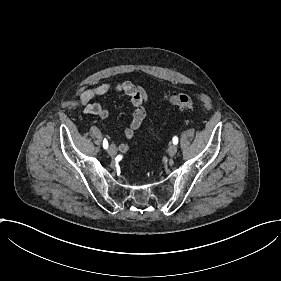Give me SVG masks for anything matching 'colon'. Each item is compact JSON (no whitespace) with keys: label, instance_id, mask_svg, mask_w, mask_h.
<instances>
[{"label":"colon","instance_id":"5ec220e1","mask_svg":"<svg viewBox=\"0 0 281 281\" xmlns=\"http://www.w3.org/2000/svg\"><path fill=\"white\" fill-rule=\"evenodd\" d=\"M170 103L182 110H191L195 107V100L187 93H176L170 96Z\"/></svg>","mask_w":281,"mask_h":281}]
</instances>
